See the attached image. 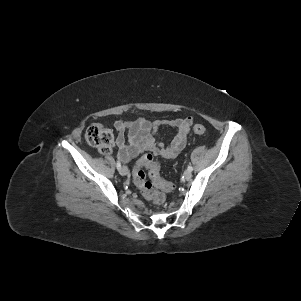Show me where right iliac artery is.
I'll use <instances>...</instances> for the list:
<instances>
[{
	"label": "right iliac artery",
	"mask_w": 301,
	"mask_h": 301,
	"mask_svg": "<svg viewBox=\"0 0 301 301\" xmlns=\"http://www.w3.org/2000/svg\"><path fill=\"white\" fill-rule=\"evenodd\" d=\"M116 166H117V169H118V170H120V168H121V163H120V160H119V158H118V161H117V164H116Z\"/></svg>",
	"instance_id": "obj_1"
}]
</instances>
